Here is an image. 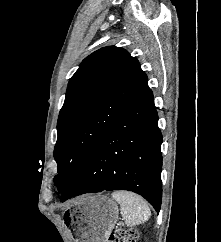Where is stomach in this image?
Instances as JSON below:
<instances>
[{"mask_svg": "<svg viewBox=\"0 0 221 242\" xmlns=\"http://www.w3.org/2000/svg\"><path fill=\"white\" fill-rule=\"evenodd\" d=\"M70 208L74 242H106L118 220L116 202L107 195H86L74 201Z\"/></svg>", "mask_w": 221, "mask_h": 242, "instance_id": "obj_1", "label": "stomach"}]
</instances>
